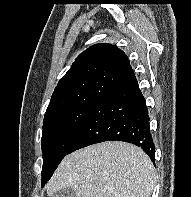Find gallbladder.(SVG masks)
<instances>
[{"mask_svg":"<svg viewBox=\"0 0 191 197\" xmlns=\"http://www.w3.org/2000/svg\"><path fill=\"white\" fill-rule=\"evenodd\" d=\"M53 197H76V195L71 188H64L55 193Z\"/></svg>","mask_w":191,"mask_h":197,"instance_id":"obj_1","label":"gallbladder"}]
</instances>
